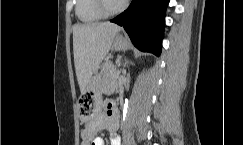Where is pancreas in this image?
Instances as JSON below:
<instances>
[{
	"label": "pancreas",
	"mask_w": 243,
	"mask_h": 145,
	"mask_svg": "<svg viewBox=\"0 0 243 145\" xmlns=\"http://www.w3.org/2000/svg\"><path fill=\"white\" fill-rule=\"evenodd\" d=\"M103 77L109 81L113 86L116 85L118 71L112 67L109 63H106L103 67Z\"/></svg>",
	"instance_id": "obj_1"
}]
</instances>
